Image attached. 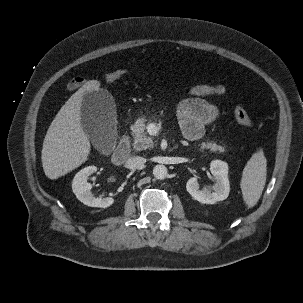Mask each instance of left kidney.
Wrapping results in <instances>:
<instances>
[{
    "instance_id": "5707ae66",
    "label": "left kidney",
    "mask_w": 303,
    "mask_h": 303,
    "mask_svg": "<svg viewBox=\"0 0 303 303\" xmlns=\"http://www.w3.org/2000/svg\"><path fill=\"white\" fill-rule=\"evenodd\" d=\"M210 171L215 179L214 192L208 188L200 189L197 177L190 178L186 184L188 193L195 200L204 204H215L218 201H223L228 197L230 191L227 163L214 160L210 164Z\"/></svg>"
}]
</instances>
